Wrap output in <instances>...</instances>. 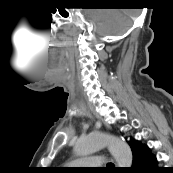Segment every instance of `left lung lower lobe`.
<instances>
[{"instance_id":"left-lung-lower-lobe-1","label":"left lung lower lobe","mask_w":173,"mask_h":173,"mask_svg":"<svg viewBox=\"0 0 173 173\" xmlns=\"http://www.w3.org/2000/svg\"><path fill=\"white\" fill-rule=\"evenodd\" d=\"M130 147L133 154V165L123 173H154L157 169V159L150 148L138 140L132 139Z\"/></svg>"}]
</instances>
